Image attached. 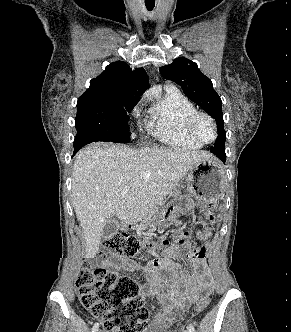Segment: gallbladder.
Wrapping results in <instances>:
<instances>
[{
	"label": "gallbladder",
	"instance_id": "gallbladder-1",
	"mask_svg": "<svg viewBox=\"0 0 291 332\" xmlns=\"http://www.w3.org/2000/svg\"><path fill=\"white\" fill-rule=\"evenodd\" d=\"M119 230V223L118 221L113 218L112 216L109 217L104 224L102 238L107 239L112 237L113 235L117 234Z\"/></svg>",
	"mask_w": 291,
	"mask_h": 332
}]
</instances>
